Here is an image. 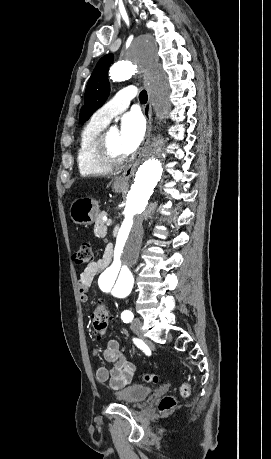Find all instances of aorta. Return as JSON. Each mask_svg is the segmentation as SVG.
<instances>
[{
    "mask_svg": "<svg viewBox=\"0 0 271 459\" xmlns=\"http://www.w3.org/2000/svg\"><path fill=\"white\" fill-rule=\"evenodd\" d=\"M138 70L149 72L154 111L160 119L166 118L171 108L170 85L158 64L156 47L148 38L136 40L129 50L128 59L114 64L109 76L114 82H120L129 79ZM166 145V140L157 136L141 157L134 182L124 202L113 259L98 280L103 292L116 297L130 294L133 288L131 267L139 256L144 234L143 222L149 214V198L163 174L168 153Z\"/></svg>",
    "mask_w": 271,
    "mask_h": 459,
    "instance_id": "obj_1",
    "label": "aorta"
}]
</instances>
